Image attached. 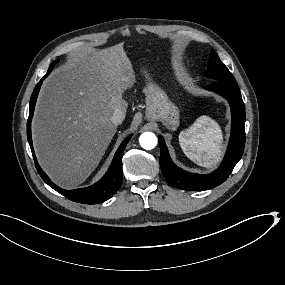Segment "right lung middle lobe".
I'll use <instances>...</instances> for the list:
<instances>
[{
    "instance_id": "1",
    "label": "right lung middle lobe",
    "mask_w": 285,
    "mask_h": 285,
    "mask_svg": "<svg viewBox=\"0 0 285 285\" xmlns=\"http://www.w3.org/2000/svg\"><path fill=\"white\" fill-rule=\"evenodd\" d=\"M58 61H55L54 63L51 64L50 68L48 69V71H51L52 68L54 67V65L57 63Z\"/></svg>"
}]
</instances>
